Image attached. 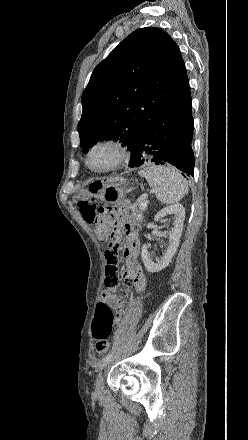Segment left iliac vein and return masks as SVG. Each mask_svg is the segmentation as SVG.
<instances>
[{
  "mask_svg": "<svg viewBox=\"0 0 248 440\" xmlns=\"http://www.w3.org/2000/svg\"><path fill=\"white\" fill-rule=\"evenodd\" d=\"M104 390V371L102 370L96 380L95 383V393L97 395H101Z\"/></svg>",
  "mask_w": 248,
  "mask_h": 440,
  "instance_id": "4c4485c4",
  "label": "left iliac vein"
}]
</instances>
